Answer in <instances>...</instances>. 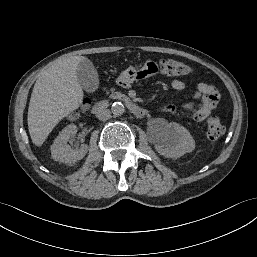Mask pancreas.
<instances>
[{"label":"pancreas","mask_w":257,"mask_h":257,"mask_svg":"<svg viewBox=\"0 0 257 257\" xmlns=\"http://www.w3.org/2000/svg\"><path fill=\"white\" fill-rule=\"evenodd\" d=\"M123 96H124V95L121 94L120 92H114V93L111 94V97H112V98L123 97Z\"/></svg>","instance_id":"1"}]
</instances>
